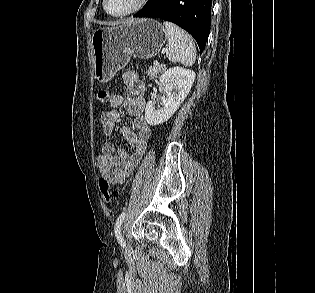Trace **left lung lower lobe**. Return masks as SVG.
<instances>
[{"mask_svg": "<svg viewBox=\"0 0 315 293\" xmlns=\"http://www.w3.org/2000/svg\"><path fill=\"white\" fill-rule=\"evenodd\" d=\"M212 0H148L133 17H154L173 22L188 31L202 52L210 31Z\"/></svg>", "mask_w": 315, "mask_h": 293, "instance_id": "0a47b994", "label": "left lung lower lobe"}]
</instances>
